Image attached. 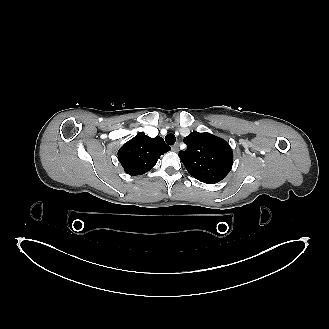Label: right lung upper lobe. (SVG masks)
<instances>
[{
    "instance_id": "cb5924a9",
    "label": "right lung upper lobe",
    "mask_w": 329,
    "mask_h": 329,
    "mask_svg": "<svg viewBox=\"0 0 329 329\" xmlns=\"http://www.w3.org/2000/svg\"><path fill=\"white\" fill-rule=\"evenodd\" d=\"M170 149L160 136L150 138L139 132L119 149L118 159L126 173L142 175L151 170L159 157Z\"/></svg>"
}]
</instances>
